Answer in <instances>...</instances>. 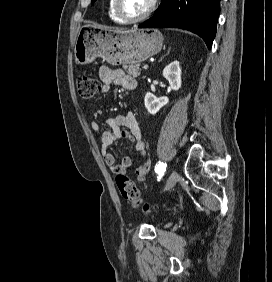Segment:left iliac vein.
<instances>
[{"mask_svg":"<svg viewBox=\"0 0 272 282\" xmlns=\"http://www.w3.org/2000/svg\"><path fill=\"white\" fill-rule=\"evenodd\" d=\"M177 180H178V173L175 170H173L171 174L169 175V178L165 184L164 190L167 191V190L172 189L175 186Z\"/></svg>","mask_w":272,"mask_h":282,"instance_id":"obj_1","label":"left iliac vein"}]
</instances>
